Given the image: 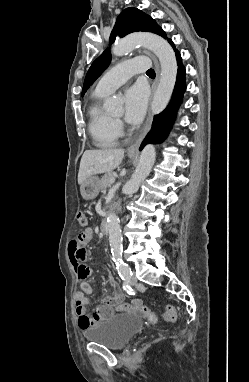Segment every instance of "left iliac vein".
<instances>
[{"mask_svg":"<svg viewBox=\"0 0 249 382\" xmlns=\"http://www.w3.org/2000/svg\"><path fill=\"white\" fill-rule=\"evenodd\" d=\"M137 282V279H136V277H131V279H130V283L132 284V285H134L135 283Z\"/></svg>","mask_w":249,"mask_h":382,"instance_id":"4c4485c4","label":"left iliac vein"}]
</instances>
